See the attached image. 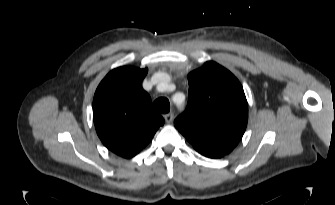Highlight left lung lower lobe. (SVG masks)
Wrapping results in <instances>:
<instances>
[{"mask_svg":"<svg viewBox=\"0 0 335 205\" xmlns=\"http://www.w3.org/2000/svg\"><path fill=\"white\" fill-rule=\"evenodd\" d=\"M204 156L210 157V158H220V157H222V156H213V155H204Z\"/></svg>","mask_w":335,"mask_h":205,"instance_id":"0a47b994","label":"left lung lower lobe"}]
</instances>
